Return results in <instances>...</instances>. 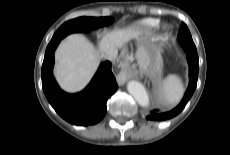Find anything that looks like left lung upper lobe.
<instances>
[{
    "instance_id": "5c2ea615",
    "label": "left lung upper lobe",
    "mask_w": 230,
    "mask_h": 155,
    "mask_svg": "<svg viewBox=\"0 0 230 155\" xmlns=\"http://www.w3.org/2000/svg\"><path fill=\"white\" fill-rule=\"evenodd\" d=\"M178 41L182 47L184 46H195L190 31L188 30L186 24L182 23L181 28L178 32Z\"/></svg>"
}]
</instances>
